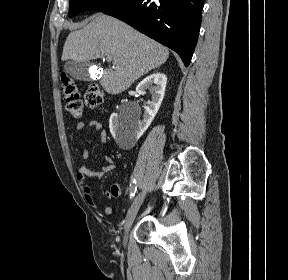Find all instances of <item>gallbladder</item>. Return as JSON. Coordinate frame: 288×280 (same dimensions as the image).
Returning <instances> with one entry per match:
<instances>
[{"label": "gallbladder", "mask_w": 288, "mask_h": 280, "mask_svg": "<svg viewBox=\"0 0 288 280\" xmlns=\"http://www.w3.org/2000/svg\"><path fill=\"white\" fill-rule=\"evenodd\" d=\"M91 64L87 62L69 61L64 65V71L69 76L83 81L90 80V74L88 73V68Z\"/></svg>", "instance_id": "bac80fb5"}]
</instances>
